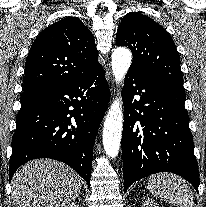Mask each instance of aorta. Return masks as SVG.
Listing matches in <instances>:
<instances>
[{
  "label": "aorta",
  "instance_id": "aorta-1",
  "mask_svg": "<svg viewBox=\"0 0 206 207\" xmlns=\"http://www.w3.org/2000/svg\"><path fill=\"white\" fill-rule=\"evenodd\" d=\"M132 61L131 52L123 47L117 48L112 54V71L117 83H122ZM123 129L121 99L116 98L105 118L103 127V146L110 158H115L120 149Z\"/></svg>",
  "mask_w": 206,
  "mask_h": 207
}]
</instances>
